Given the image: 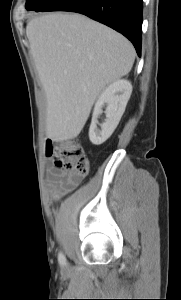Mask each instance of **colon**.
Wrapping results in <instances>:
<instances>
[{"instance_id": "colon-1", "label": "colon", "mask_w": 181, "mask_h": 300, "mask_svg": "<svg viewBox=\"0 0 181 300\" xmlns=\"http://www.w3.org/2000/svg\"><path fill=\"white\" fill-rule=\"evenodd\" d=\"M47 154L54 157L57 167L68 172L73 178H82L88 172V159L77 140L51 142L47 145Z\"/></svg>"}]
</instances>
